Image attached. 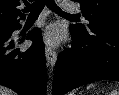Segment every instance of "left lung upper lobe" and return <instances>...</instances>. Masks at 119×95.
I'll return each instance as SVG.
<instances>
[{"mask_svg":"<svg viewBox=\"0 0 119 95\" xmlns=\"http://www.w3.org/2000/svg\"><path fill=\"white\" fill-rule=\"evenodd\" d=\"M80 3L81 11L86 20L87 26L75 24L81 32L91 28H106L119 30V0H75Z\"/></svg>","mask_w":119,"mask_h":95,"instance_id":"left-lung-upper-lobe-1","label":"left lung upper lobe"}]
</instances>
